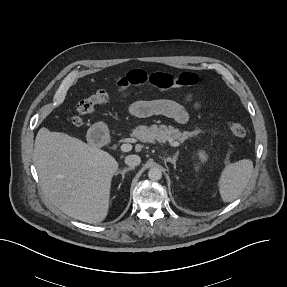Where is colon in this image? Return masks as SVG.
Instances as JSON below:
<instances>
[{
	"instance_id": "colon-1",
	"label": "colon",
	"mask_w": 287,
	"mask_h": 287,
	"mask_svg": "<svg viewBox=\"0 0 287 287\" xmlns=\"http://www.w3.org/2000/svg\"><path fill=\"white\" fill-rule=\"evenodd\" d=\"M200 78L192 72L170 74L164 72L146 73L143 70H132L122 77L116 84L114 91L99 90L91 96L78 102L77 115L74 124L80 125L84 116L90 115L98 106H107L114 97L125 98L134 88L144 85H152L160 89L189 88L198 84ZM227 128L231 134L237 137H245L246 128L240 120H230Z\"/></svg>"
}]
</instances>
